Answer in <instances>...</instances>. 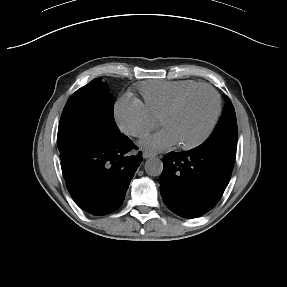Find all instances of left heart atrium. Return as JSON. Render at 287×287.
I'll use <instances>...</instances> for the list:
<instances>
[{
  "mask_svg": "<svg viewBox=\"0 0 287 287\" xmlns=\"http://www.w3.org/2000/svg\"><path fill=\"white\" fill-rule=\"evenodd\" d=\"M142 146L150 151H162L177 144L174 135L166 128L144 139Z\"/></svg>",
  "mask_w": 287,
  "mask_h": 287,
  "instance_id": "1",
  "label": "left heart atrium"
}]
</instances>
